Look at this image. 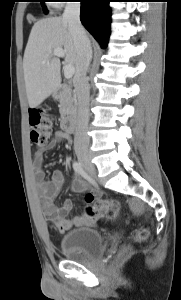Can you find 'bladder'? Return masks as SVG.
<instances>
[{"mask_svg": "<svg viewBox=\"0 0 181 300\" xmlns=\"http://www.w3.org/2000/svg\"><path fill=\"white\" fill-rule=\"evenodd\" d=\"M60 246L65 256L86 259L102 253L104 239L101 233L94 228H75L62 235Z\"/></svg>", "mask_w": 181, "mask_h": 300, "instance_id": "bladder-1", "label": "bladder"}]
</instances>
